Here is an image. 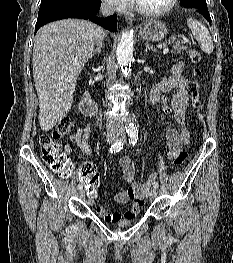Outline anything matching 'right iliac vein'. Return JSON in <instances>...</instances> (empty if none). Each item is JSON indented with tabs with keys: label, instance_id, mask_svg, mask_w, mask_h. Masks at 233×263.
<instances>
[{
	"label": "right iliac vein",
	"instance_id": "63e3f726",
	"mask_svg": "<svg viewBox=\"0 0 233 263\" xmlns=\"http://www.w3.org/2000/svg\"><path fill=\"white\" fill-rule=\"evenodd\" d=\"M119 140L118 136H116L115 134H108L107 135V142L108 143H113V142H117ZM85 196V191L84 190H80L79 191V197L80 198H84Z\"/></svg>",
	"mask_w": 233,
	"mask_h": 263
}]
</instances>
